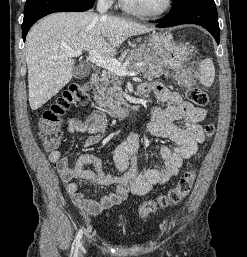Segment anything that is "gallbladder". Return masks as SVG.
<instances>
[{"label":"gallbladder","mask_w":247,"mask_h":257,"mask_svg":"<svg viewBox=\"0 0 247 257\" xmlns=\"http://www.w3.org/2000/svg\"><path fill=\"white\" fill-rule=\"evenodd\" d=\"M90 74V68L86 65H78L73 70V77L76 79H83Z\"/></svg>","instance_id":"bac80fb5"}]
</instances>
